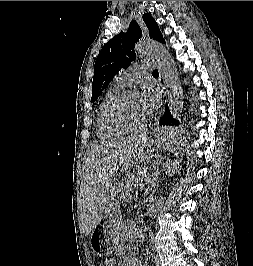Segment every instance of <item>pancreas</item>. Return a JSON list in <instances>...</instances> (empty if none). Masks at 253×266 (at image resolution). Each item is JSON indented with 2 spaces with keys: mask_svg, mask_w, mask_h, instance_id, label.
<instances>
[{
  "mask_svg": "<svg viewBox=\"0 0 253 266\" xmlns=\"http://www.w3.org/2000/svg\"><path fill=\"white\" fill-rule=\"evenodd\" d=\"M147 179V177L141 176L137 172L128 174L120 183V199L125 202L133 200L140 183ZM135 183H139V185Z\"/></svg>",
  "mask_w": 253,
  "mask_h": 266,
  "instance_id": "pancreas-1",
  "label": "pancreas"
}]
</instances>
